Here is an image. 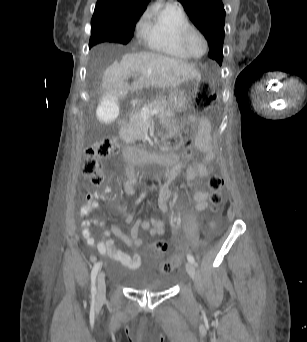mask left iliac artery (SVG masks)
<instances>
[{
    "instance_id": "left-iliac-artery-1",
    "label": "left iliac artery",
    "mask_w": 307,
    "mask_h": 342,
    "mask_svg": "<svg viewBox=\"0 0 307 342\" xmlns=\"http://www.w3.org/2000/svg\"><path fill=\"white\" fill-rule=\"evenodd\" d=\"M187 260H188L189 262L195 264V259H194V257H193L191 254H188V255H187Z\"/></svg>"
}]
</instances>
